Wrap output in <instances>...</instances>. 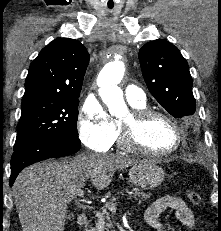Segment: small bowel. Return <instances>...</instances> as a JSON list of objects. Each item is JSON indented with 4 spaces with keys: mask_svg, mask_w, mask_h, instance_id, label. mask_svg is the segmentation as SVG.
Here are the masks:
<instances>
[{
    "mask_svg": "<svg viewBox=\"0 0 221 231\" xmlns=\"http://www.w3.org/2000/svg\"><path fill=\"white\" fill-rule=\"evenodd\" d=\"M167 210L175 211L177 220L186 227H195L196 220L192 210L182 198L176 196H164L152 203L146 211L145 222L155 231H164L159 216Z\"/></svg>",
    "mask_w": 221,
    "mask_h": 231,
    "instance_id": "1",
    "label": "small bowel"
}]
</instances>
